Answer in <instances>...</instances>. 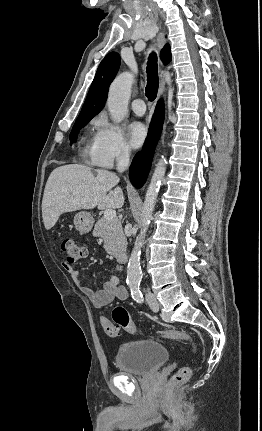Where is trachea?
I'll use <instances>...</instances> for the list:
<instances>
[{
  "label": "trachea",
  "mask_w": 262,
  "mask_h": 431,
  "mask_svg": "<svg viewBox=\"0 0 262 431\" xmlns=\"http://www.w3.org/2000/svg\"><path fill=\"white\" fill-rule=\"evenodd\" d=\"M158 85L157 55L153 52L149 55L147 63L146 97L149 101H153L156 98Z\"/></svg>",
  "instance_id": "trachea-1"
}]
</instances>
